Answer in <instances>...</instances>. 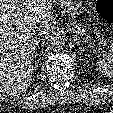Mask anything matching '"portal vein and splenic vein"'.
Wrapping results in <instances>:
<instances>
[{"label": "portal vein and splenic vein", "instance_id": "18ae733b", "mask_svg": "<svg viewBox=\"0 0 113 113\" xmlns=\"http://www.w3.org/2000/svg\"><path fill=\"white\" fill-rule=\"evenodd\" d=\"M17 9L19 11L20 16H23L24 14H26V12H24L20 6H18Z\"/></svg>", "mask_w": 113, "mask_h": 113}]
</instances>
